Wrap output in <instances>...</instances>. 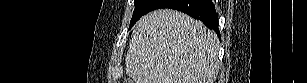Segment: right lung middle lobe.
<instances>
[{
  "mask_svg": "<svg viewBox=\"0 0 307 83\" xmlns=\"http://www.w3.org/2000/svg\"><path fill=\"white\" fill-rule=\"evenodd\" d=\"M154 0H135V10L131 19L130 28L143 15L149 12Z\"/></svg>",
  "mask_w": 307,
  "mask_h": 83,
  "instance_id": "1",
  "label": "right lung middle lobe"
}]
</instances>
